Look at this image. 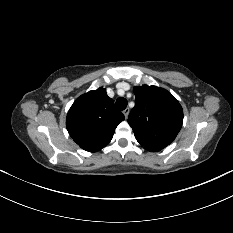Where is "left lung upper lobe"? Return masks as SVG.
Wrapping results in <instances>:
<instances>
[{"label": "left lung upper lobe", "instance_id": "obj_1", "mask_svg": "<svg viewBox=\"0 0 233 233\" xmlns=\"http://www.w3.org/2000/svg\"><path fill=\"white\" fill-rule=\"evenodd\" d=\"M135 107L128 123L142 145H169L176 138L183 122V110L177 99L157 86L134 87Z\"/></svg>", "mask_w": 233, "mask_h": 233}]
</instances>
